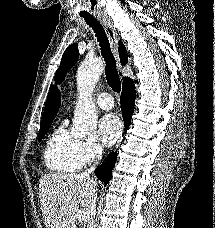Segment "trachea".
<instances>
[{
	"label": "trachea",
	"mask_w": 215,
	"mask_h": 228,
	"mask_svg": "<svg viewBox=\"0 0 215 228\" xmlns=\"http://www.w3.org/2000/svg\"><path fill=\"white\" fill-rule=\"evenodd\" d=\"M82 18L86 21L87 25L90 26L95 32L97 41L101 49V55L106 63L105 65V75L108 85L112 88L114 92L120 93L121 91V81L116 68V62L114 56L110 50L109 40L106 33L100 23L90 14H80Z\"/></svg>",
	"instance_id": "3493384b"
}]
</instances>
